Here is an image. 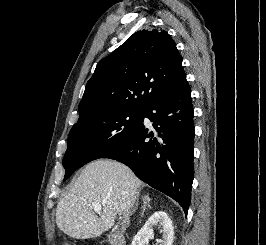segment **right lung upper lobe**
Masks as SVG:
<instances>
[{
	"mask_svg": "<svg viewBox=\"0 0 266 245\" xmlns=\"http://www.w3.org/2000/svg\"><path fill=\"white\" fill-rule=\"evenodd\" d=\"M185 80L182 57L166 31L135 32L98 63L86 84L79 119L115 107L146 109Z\"/></svg>",
	"mask_w": 266,
	"mask_h": 245,
	"instance_id": "1",
	"label": "right lung upper lobe"
}]
</instances>
